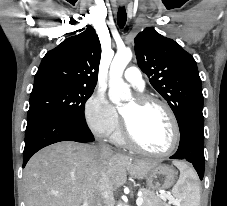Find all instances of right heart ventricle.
Wrapping results in <instances>:
<instances>
[{"label":"right heart ventricle","instance_id":"e07e8e85","mask_svg":"<svg viewBox=\"0 0 227 206\" xmlns=\"http://www.w3.org/2000/svg\"><path fill=\"white\" fill-rule=\"evenodd\" d=\"M112 139L115 143L119 145H125V140L122 136V133L119 129H117L113 134H112Z\"/></svg>","mask_w":227,"mask_h":206}]
</instances>
